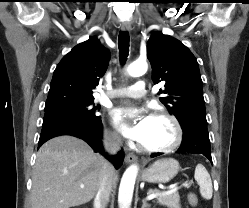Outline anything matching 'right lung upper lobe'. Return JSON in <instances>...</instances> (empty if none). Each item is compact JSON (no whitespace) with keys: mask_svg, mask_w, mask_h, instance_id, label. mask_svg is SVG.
Segmentation results:
<instances>
[{"mask_svg":"<svg viewBox=\"0 0 249 208\" xmlns=\"http://www.w3.org/2000/svg\"><path fill=\"white\" fill-rule=\"evenodd\" d=\"M108 62L109 52L95 37L75 46L54 71L45 107L94 100L92 90Z\"/></svg>","mask_w":249,"mask_h":208,"instance_id":"right-lung-upper-lobe-1","label":"right lung upper lobe"}]
</instances>
